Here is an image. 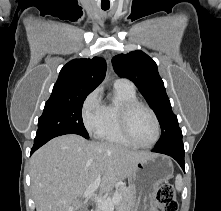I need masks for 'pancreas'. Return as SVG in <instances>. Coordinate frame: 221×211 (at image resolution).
Here are the masks:
<instances>
[{
    "instance_id": "cf45deb5",
    "label": "pancreas",
    "mask_w": 221,
    "mask_h": 211,
    "mask_svg": "<svg viewBox=\"0 0 221 211\" xmlns=\"http://www.w3.org/2000/svg\"><path fill=\"white\" fill-rule=\"evenodd\" d=\"M115 193L120 194L122 197L120 202L117 204L118 211H132V207L134 204V195L132 188H120L116 190ZM96 211L103 210L97 207Z\"/></svg>"
}]
</instances>
